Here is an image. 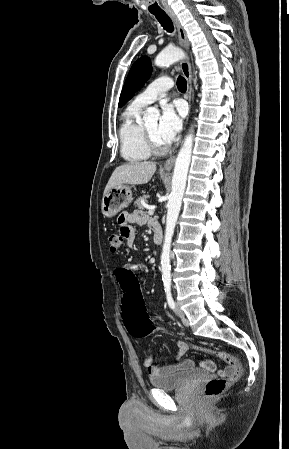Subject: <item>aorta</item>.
Returning a JSON list of instances; mask_svg holds the SVG:
<instances>
[{
	"label": "aorta",
	"instance_id": "762f6f07",
	"mask_svg": "<svg viewBox=\"0 0 289 449\" xmlns=\"http://www.w3.org/2000/svg\"><path fill=\"white\" fill-rule=\"evenodd\" d=\"M183 58H185V54L182 49L177 47L166 48L157 55L155 59V65L164 67L167 65H171ZM158 117L159 111L157 109L148 108L143 116V119L145 121H149L157 119ZM192 148L193 135L192 133H189L185 137L183 145L180 148L175 161L174 174L172 178V190L167 203L166 230L161 254L162 280L165 288H170L171 286V242L186 187L187 174L191 162Z\"/></svg>",
	"mask_w": 289,
	"mask_h": 449
}]
</instances>
